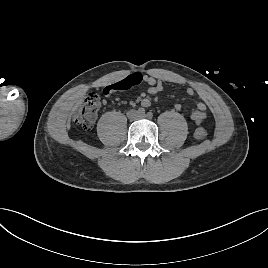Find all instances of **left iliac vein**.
I'll list each match as a JSON object with an SVG mask.
<instances>
[{
  "label": "left iliac vein",
  "mask_w": 268,
  "mask_h": 268,
  "mask_svg": "<svg viewBox=\"0 0 268 268\" xmlns=\"http://www.w3.org/2000/svg\"><path fill=\"white\" fill-rule=\"evenodd\" d=\"M145 117H147V115H145V114H140V115L138 116V118H145Z\"/></svg>",
  "instance_id": "left-iliac-vein-1"
}]
</instances>
